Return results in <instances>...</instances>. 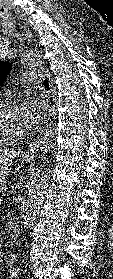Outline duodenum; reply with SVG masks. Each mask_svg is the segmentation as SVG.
<instances>
[{"mask_svg":"<svg viewBox=\"0 0 113 279\" xmlns=\"http://www.w3.org/2000/svg\"><path fill=\"white\" fill-rule=\"evenodd\" d=\"M9 232L12 237L17 238L20 234V222L17 216H12L9 219Z\"/></svg>","mask_w":113,"mask_h":279,"instance_id":"410a0bca","label":"duodenum"}]
</instances>
